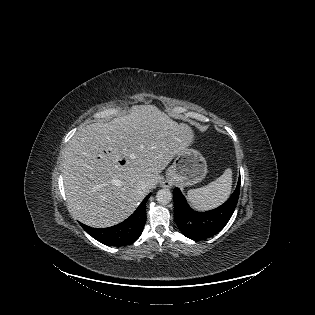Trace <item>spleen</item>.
<instances>
[{"instance_id":"obj_1","label":"spleen","mask_w":315,"mask_h":315,"mask_svg":"<svg viewBox=\"0 0 315 315\" xmlns=\"http://www.w3.org/2000/svg\"><path fill=\"white\" fill-rule=\"evenodd\" d=\"M232 188V170L224 173L206 186L187 192L188 200L198 210L206 211L220 206L230 196Z\"/></svg>"}]
</instances>
